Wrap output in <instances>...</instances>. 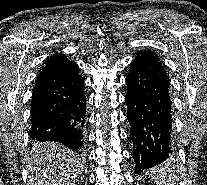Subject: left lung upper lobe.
<instances>
[{
  "instance_id": "5c2ea615",
  "label": "left lung upper lobe",
  "mask_w": 207,
  "mask_h": 185,
  "mask_svg": "<svg viewBox=\"0 0 207 185\" xmlns=\"http://www.w3.org/2000/svg\"><path fill=\"white\" fill-rule=\"evenodd\" d=\"M132 66H143L149 68L151 70L157 71L162 76L169 79L163 69L159 56L151 51H142L139 53L138 56L133 60Z\"/></svg>"
}]
</instances>
